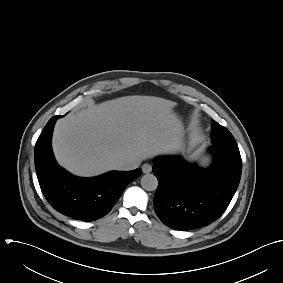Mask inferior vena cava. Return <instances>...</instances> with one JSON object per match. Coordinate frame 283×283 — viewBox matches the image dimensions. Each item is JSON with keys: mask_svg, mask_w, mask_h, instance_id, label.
<instances>
[{"mask_svg": "<svg viewBox=\"0 0 283 283\" xmlns=\"http://www.w3.org/2000/svg\"><path fill=\"white\" fill-rule=\"evenodd\" d=\"M140 165L139 162L131 161L128 159L118 160L115 163V169L117 170H132Z\"/></svg>", "mask_w": 283, "mask_h": 283, "instance_id": "obj_1", "label": "inferior vena cava"}]
</instances>
